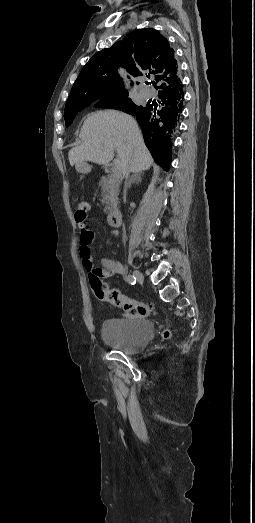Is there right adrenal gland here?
I'll return each instance as SVG.
<instances>
[{
	"label": "right adrenal gland",
	"mask_w": 255,
	"mask_h": 523,
	"mask_svg": "<svg viewBox=\"0 0 255 523\" xmlns=\"http://www.w3.org/2000/svg\"><path fill=\"white\" fill-rule=\"evenodd\" d=\"M137 182H142L141 174H134V176H131L130 180L127 182L126 190L131 188V184H137Z\"/></svg>",
	"instance_id": "right-adrenal-gland-1"
}]
</instances>
